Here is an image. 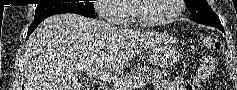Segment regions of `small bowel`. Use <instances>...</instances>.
<instances>
[{
  "label": "small bowel",
  "instance_id": "c3829d8e",
  "mask_svg": "<svg viewBox=\"0 0 237 90\" xmlns=\"http://www.w3.org/2000/svg\"><path fill=\"white\" fill-rule=\"evenodd\" d=\"M213 72V64L205 62L200 65L194 77L183 79L176 76L173 79H164L157 83L155 90H200L201 82L210 77Z\"/></svg>",
  "mask_w": 237,
  "mask_h": 90
}]
</instances>
